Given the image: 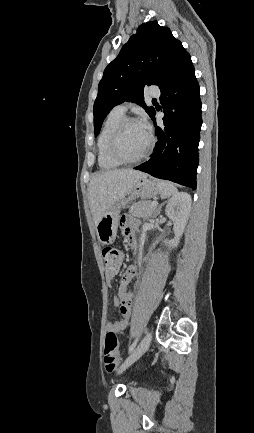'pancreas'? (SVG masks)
I'll list each match as a JSON object with an SVG mask.
<instances>
[{
    "label": "pancreas",
    "mask_w": 254,
    "mask_h": 433,
    "mask_svg": "<svg viewBox=\"0 0 254 433\" xmlns=\"http://www.w3.org/2000/svg\"><path fill=\"white\" fill-rule=\"evenodd\" d=\"M151 201H138L135 202L129 209V213L135 217H141L149 219L155 217L158 214L157 206H152Z\"/></svg>",
    "instance_id": "1"
}]
</instances>
